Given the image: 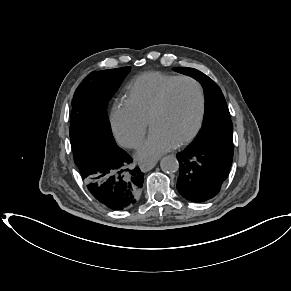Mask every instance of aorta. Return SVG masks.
Listing matches in <instances>:
<instances>
[{
  "mask_svg": "<svg viewBox=\"0 0 291 291\" xmlns=\"http://www.w3.org/2000/svg\"><path fill=\"white\" fill-rule=\"evenodd\" d=\"M160 167L162 171L168 173H174L179 168V163L176 157L174 156H166L160 162Z\"/></svg>",
  "mask_w": 291,
  "mask_h": 291,
  "instance_id": "1",
  "label": "aorta"
}]
</instances>
